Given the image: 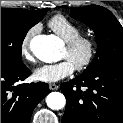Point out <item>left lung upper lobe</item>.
Masks as SVG:
<instances>
[{
	"mask_svg": "<svg viewBox=\"0 0 123 123\" xmlns=\"http://www.w3.org/2000/svg\"><path fill=\"white\" fill-rule=\"evenodd\" d=\"M71 17L93 29L97 39L96 56L83 75L108 64L123 63V27L109 10L90 5L73 9Z\"/></svg>",
	"mask_w": 123,
	"mask_h": 123,
	"instance_id": "left-lung-upper-lobe-1",
	"label": "left lung upper lobe"
}]
</instances>
